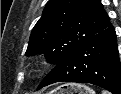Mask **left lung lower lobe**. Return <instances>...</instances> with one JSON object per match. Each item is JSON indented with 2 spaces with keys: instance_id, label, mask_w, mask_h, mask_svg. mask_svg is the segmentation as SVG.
<instances>
[{
  "instance_id": "1",
  "label": "left lung lower lobe",
  "mask_w": 121,
  "mask_h": 94,
  "mask_svg": "<svg viewBox=\"0 0 121 94\" xmlns=\"http://www.w3.org/2000/svg\"><path fill=\"white\" fill-rule=\"evenodd\" d=\"M121 73L115 29L112 25L87 40L42 80L37 90L56 82L91 83L121 94Z\"/></svg>"
}]
</instances>
